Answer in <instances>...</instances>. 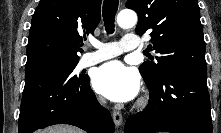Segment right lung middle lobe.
<instances>
[{
    "mask_svg": "<svg viewBox=\"0 0 221 133\" xmlns=\"http://www.w3.org/2000/svg\"><path fill=\"white\" fill-rule=\"evenodd\" d=\"M77 63L78 62L67 63V64H56V65H50L46 68H57L58 70H60L63 73L67 74L72 79L79 80V79L83 78L84 76H82V75L77 76V75L72 74V72H73L74 68L76 67Z\"/></svg>",
    "mask_w": 221,
    "mask_h": 133,
    "instance_id": "dd1d6c3e",
    "label": "right lung middle lobe"
}]
</instances>
